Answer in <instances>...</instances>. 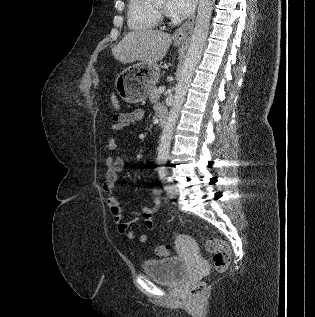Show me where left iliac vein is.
Returning a JSON list of instances; mask_svg holds the SVG:
<instances>
[{"label": "left iliac vein", "mask_w": 315, "mask_h": 317, "mask_svg": "<svg viewBox=\"0 0 315 317\" xmlns=\"http://www.w3.org/2000/svg\"><path fill=\"white\" fill-rule=\"evenodd\" d=\"M179 194V189L176 185H171L170 190H168V195L170 197H175Z\"/></svg>", "instance_id": "1"}]
</instances>
